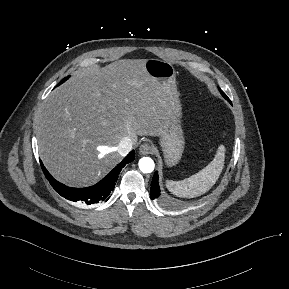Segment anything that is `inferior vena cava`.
I'll list each match as a JSON object with an SVG mask.
<instances>
[{"label": "inferior vena cava", "instance_id": "602c4592", "mask_svg": "<svg viewBox=\"0 0 289 289\" xmlns=\"http://www.w3.org/2000/svg\"><path fill=\"white\" fill-rule=\"evenodd\" d=\"M132 141L129 137H124L120 140L117 151L121 156H126L132 149Z\"/></svg>", "mask_w": 289, "mask_h": 289}]
</instances>
